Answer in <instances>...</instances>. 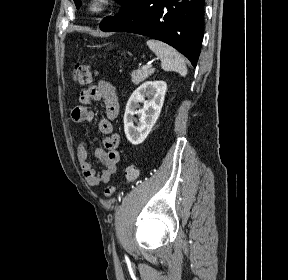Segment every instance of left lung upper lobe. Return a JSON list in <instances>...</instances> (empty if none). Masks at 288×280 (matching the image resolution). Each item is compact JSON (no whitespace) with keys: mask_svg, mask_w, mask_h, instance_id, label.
Segmentation results:
<instances>
[{"mask_svg":"<svg viewBox=\"0 0 288 280\" xmlns=\"http://www.w3.org/2000/svg\"><path fill=\"white\" fill-rule=\"evenodd\" d=\"M120 5H121V9L120 10H124L126 9L129 4L133 1V0H116ZM76 7L79 8L80 7V1L79 0H74Z\"/></svg>","mask_w":288,"mask_h":280,"instance_id":"left-lung-upper-lobe-1","label":"left lung upper lobe"}]
</instances>
